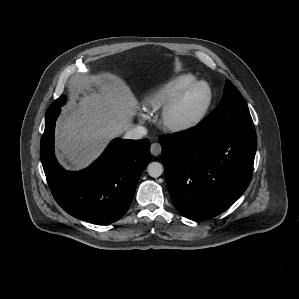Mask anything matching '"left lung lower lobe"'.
Returning a JSON list of instances; mask_svg holds the SVG:
<instances>
[{"label":"left lung lower lobe","instance_id":"0a47b994","mask_svg":"<svg viewBox=\"0 0 299 299\" xmlns=\"http://www.w3.org/2000/svg\"><path fill=\"white\" fill-rule=\"evenodd\" d=\"M165 180L176 209L191 220L215 217L247 189L257 148L254 129L198 126L159 137Z\"/></svg>","mask_w":299,"mask_h":299}]
</instances>
